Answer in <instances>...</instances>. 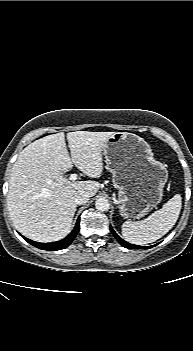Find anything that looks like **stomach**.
<instances>
[{"label":"stomach","mask_w":193,"mask_h":351,"mask_svg":"<svg viewBox=\"0 0 193 351\" xmlns=\"http://www.w3.org/2000/svg\"><path fill=\"white\" fill-rule=\"evenodd\" d=\"M103 154L118 189V208L123 217L140 219L161 202L168 171L153 157L143 138L117 132L108 139Z\"/></svg>","instance_id":"stomach-1"}]
</instances>
